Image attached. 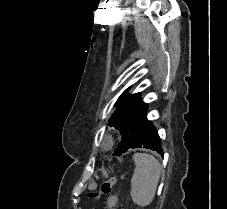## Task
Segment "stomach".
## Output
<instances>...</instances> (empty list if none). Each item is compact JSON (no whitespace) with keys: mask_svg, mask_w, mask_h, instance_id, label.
<instances>
[{"mask_svg":"<svg viewBox=\"0 0 227 209\" xmlns=\"http://www.w3.org/2000/svg\"><path fill=\"white\" fill-rule=\"evenodd\" d=\"M117 203V197L116 196H111L109 199H108V206L111 208L113 206H115Z\"/></svg>","mask_w":227,"mask_h":209,"instance_id":"obj_1","label":"stomach"}]
</instances>
